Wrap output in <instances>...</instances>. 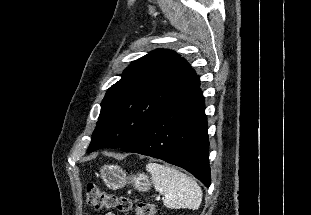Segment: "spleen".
I'll use <instances>...</instances> for the list:
<instances>
[{"label": "spleen", "instance_id": "spleen-1", "mask_svg": "<svg viewBox=\"0 0 311 215\" xmlns=\"http://www.w3.org/2000/svg\"><path fill=\"white\" fill-rule=\"evenodd\" d=\"M146 170L151 174L155 190L165 195L164 205L167 208H199L202 190L193 178L175 168L158 163L147 164Z\"/></svg>", "mask_w": 311, "mask_h": 215}]
</instances>
